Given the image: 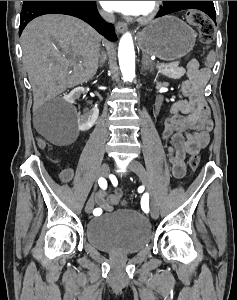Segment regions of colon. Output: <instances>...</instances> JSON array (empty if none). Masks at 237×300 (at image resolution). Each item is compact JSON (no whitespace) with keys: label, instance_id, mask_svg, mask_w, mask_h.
Returning a JSON list of instances; mask_svg holds the SVG:
<instances>
[{"label":"colon","instance_id":"obj_1","mask_svg":"<svg viewBox=\"0 0 237 300\" xmlns=\"http://www.w3.org/2000/svg\"><path fill=\"white\" fill-rule=\"evenodd\" d=\"M186 20L192 26L198 28L200 34V41L204 45H210L215 37V25L211 19H209L202 11L192 9L186 12ZM40 146L44 147L43 141H40ZM200 156L198 153L193 154L190 157L189 165L192 171H196L199 166ZM110 201L113 204H123L122 191L118 190L110 197Z\"/></svg>","mask_w":237,"mask_h":300}]
</instances>
